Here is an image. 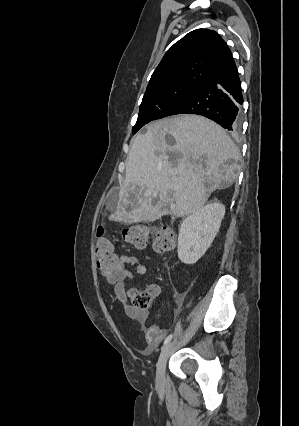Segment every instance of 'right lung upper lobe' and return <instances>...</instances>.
<instances>
[{
	"mask_svg": "<svg viewBox=\"0 0 299 426\" xmlns=\"http://www.w3.org/2000/svg\"><path fill=\"white\" fill-rule=\"evenodd\" d=\"M233 65L235 62L224 40L215 31L197 29L166 52L147 89L173 82L201 86Z\"/></svg>",
	"mask_w": 299,
	"mask_h": 426,
	"instance_id": "obj_1",
	"label": "right lung upper lobe"
}]
</instances>
